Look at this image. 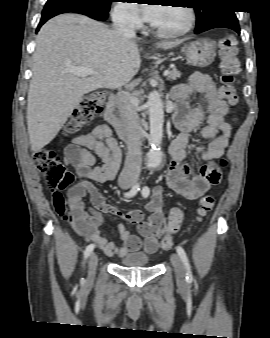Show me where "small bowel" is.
Wrapping results in <instances>:
<instances>
[{
    "mask_svg": "<svg viewBox=\"0 0 270 338\" xmlns=\"http://www.w3.org/2000/svg\"><path fill=\"white\" fill-rule=\"evenodd\" d=\"M172 97L177 104L186 106L188 112L179 110L174 118V123L181 132L170 147L173 162L167 171L166 181L175 193L196 200L220 180V172H214L207 166L212 160L222 157L229 147L232 130L225 121L229 105L220 98L212 79L202 73H193L187 82L177 85ZM193 98H197L198 103L190 107ZM204 121L206 124L201 127ZM200 127V136L205 143L197 147L196 157L204 164L192 171L184 163L187 158L186 145L191 133ZM64 160L72 164L81 178L80 182L68 189L66 197L59 198L60 206L63 213L68 214L71 226L109 257L141 250L149 254L155 253L164 224L161 188L154 189L153 200L145 207L149 218L144 220L140 210L122 213L111 206L92 183L111 181L119 168L121 153L111 127L102 123L90 133L77 136L67 145ZM97 160L100 165H96ZM86 197H90L96 209L136 223L144 242L137 235L131 234L123 224L117 226L123 245L117 246L115 242L109 241L100 230L103 222L100 215L86 209Z\"/></svg>",
    "mask_w": 270,
    "mask_h": 338,
    "instance_id": "1",
    "label": "small bowel"
}]
</instances>
